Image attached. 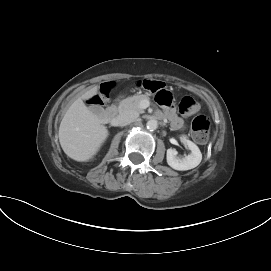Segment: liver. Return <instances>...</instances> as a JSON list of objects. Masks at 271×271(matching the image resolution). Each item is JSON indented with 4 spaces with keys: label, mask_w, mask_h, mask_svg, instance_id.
<instances>
[{
    "label": "liver",
    "mask_w": 271,
    "mask_h": 271,
    "mask_svg": "<svg viewBox=\"0 0 271 271\" xmlns=\"http://www.w3.org/2000/svg\"><path fill=\"white\" fill-rule=\"evenodd\" d=\"M94 86L77 98L68 108L59 127V142L64 153L75 161L93 158L108 137V130L83 102L97 94Z\"/></svg>",
    "instance_id": "1"
}]
</instances>
